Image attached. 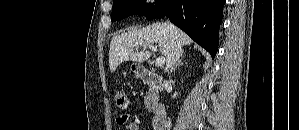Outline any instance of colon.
Returning <instances> with one entry per match:
<instances>
[{"instance_id":"1","label":"colon","mask_w":299,"mask_h":130,"mask_svg":"<svg viewBox=\"0 0 299 130\" xmlns=\"http://www.w3.org/2000/svg\"><path fill=\"white\" fill-rule=\"evenodd\" d=\"M115 101H116V105L121 109H126L129 105V97L123 91L117 92Z\"/></svg>"}]
</instances>
